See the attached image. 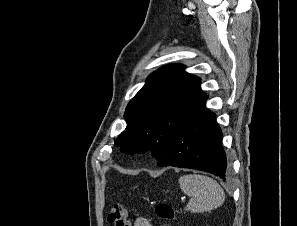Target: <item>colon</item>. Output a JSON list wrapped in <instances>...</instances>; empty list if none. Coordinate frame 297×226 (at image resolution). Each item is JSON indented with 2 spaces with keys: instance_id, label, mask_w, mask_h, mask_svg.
<instances>
[{
  "instance_id": "1",
  "label": "colon",
  "mask_w": 297,
  "mask_h": 226,
  "mask_svg": "<svg viewBox=\"0 0 297 226\" xmlns=\"http://www.w3.org/2000/svg\"><path fill=\"white\" fill-rule=\"evenodd\" d=\"M155 212L157 217L162 220L170 221L175 218L172 206L167 203H158ZM107 220L111 226H130L127 209L121 204H114L109 209Z\"/></svg>"
}]
</instances>
